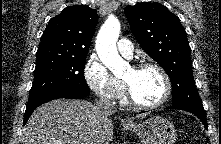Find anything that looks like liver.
<instances>
[{"mask_svg":"<svg viewBox=\"0 0 221 144\" xmlns=\"http://www.w3.org/2000/svg\"><path fill=\"white\" fill-rule=\"evenodd\" d=\"M110 115L85 100H53L32 113L21 141L22 144H110L113 140Z\"/></svg>","mask_w":221,"mask_h":144,"instance_id":"obj_1","label":"liver"}]
</instances>
